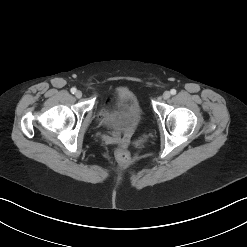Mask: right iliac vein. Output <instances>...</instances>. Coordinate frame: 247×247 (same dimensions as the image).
I'll return each mask as SVG.
<instances>
[{"instance_id":"obj_1","label":"right iliac vein","mask_w":247,"mask_h":247,"mask_svg":"<svg viewBox=\"0 0 247 247\" xmlns=\"http://www.w3.org/2000/svg\"><path fill=\"white\" fill-rule=\"evenodd\" d=\"M75 96H76L77 98H81V97H82V92H81V91H77V92L75 93Z\"/></svg>"}]
</instances>
